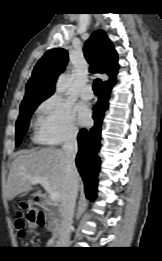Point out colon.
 I'll return each instance as SVG.
<instances>
[{"mask_svg": "<svg viewBox=\"0 0 162 261\" xmlns=\"http://www.w3.org/2000/svg\"><path fill=\"white\" fill-rule=\"evenodd\" d=\"M44 223V214L41 210L25 207L19 213L16 221V227L20 236H25L27 231H33L35 227H42Z\"/></svg>", "mask_w": 162, "mask_h": 261, "instance_id": "5ec220e1", "label": "colon"}]
</instances>
